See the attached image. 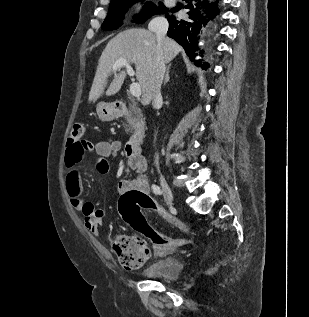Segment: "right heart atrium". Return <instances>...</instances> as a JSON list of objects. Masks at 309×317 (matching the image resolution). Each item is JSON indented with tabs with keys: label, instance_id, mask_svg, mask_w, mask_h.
I'll use <instances>...</instances> for the list:
<instances>
[{
	"label": "right heart atrium",
	"instance_id": "obj_1",
	"mask_svg": "<svg viewBox=\"0 0 309 317\" xmlns=\"http://www.w3.org/2000/svg\"><path fill=\"white\" fill-rule=\"evenodd\" d=\"M146 9V5L143 2H138L134 5V12L135 13H143Z\"/></svg>",
	"mask_w": 309,
	"mask_h": 317
}]
</instances>
